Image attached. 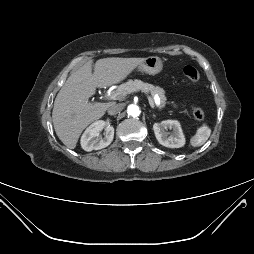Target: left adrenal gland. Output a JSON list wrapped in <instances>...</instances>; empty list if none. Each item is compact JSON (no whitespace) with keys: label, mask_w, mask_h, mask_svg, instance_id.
Masks as SVG:
<instances>
[{"label":"left adrenal gland","mask_w":254,"mask_h":254,"mask_svg":"<svg viewBox=\"0 0 254 254\" xmlns=\"http://www.w3.org/2000/svg\"><path fill=\"white\" fill-rule=\"evenodd\" d=\"M152 116H153V117H156V115H155V114H152Z\"/></svg>","instance_id":"a2214340"}]
</instances>
